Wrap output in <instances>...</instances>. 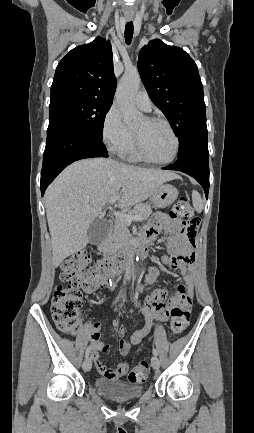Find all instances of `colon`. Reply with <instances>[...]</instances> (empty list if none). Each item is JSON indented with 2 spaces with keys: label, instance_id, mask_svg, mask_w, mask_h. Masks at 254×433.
I'll list each match as a JSON object with an SVG mask.
<instances>
[{
  "label": "colon",
  "instance_id": "colon-1",
  "mask_svg": "<svg viewBox=\"0 0 254 433\" xmlns=\"http://www.w3.org/2000/svg\"><path fill=\"white\" fill-rule=\"evenodd\" d=\"M164 220L178 226L175 233L183 234L190 245H195L200 219L194 214L187 197H181L169 213L164 215ZM105 273L106 268L102 261H96L91 265L88 250L78 251L63 261L60 280L65 285L57 286L51 306L52 318L60 331L66 334H74L77 331L82 295L94 292L105 280ZM190 305V298L180 296L171 308V336H178L186 330L190 320ZM149 370L147 361L140 362L129 374V381H145Z\"/></svg>",
  "mask_w": 254,
  "mask_h": 433
}]
</instances>
